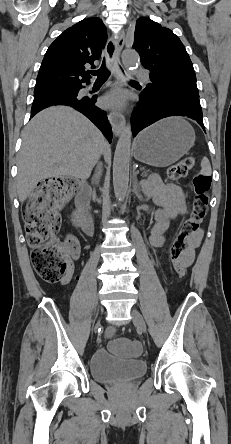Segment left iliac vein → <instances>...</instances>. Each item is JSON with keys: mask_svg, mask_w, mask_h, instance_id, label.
Wrapping results in <instances>:
<instances>
[{"mask_svg": "<svg viewBox=\"0 0 231 444\" xmlns=\"http://www.w3.org/2000/svg\"><path fill=\"white\" fill-rule=\"evenodd\" d=\"M131 314L133 317L134 324L138 326L145 333L147 328L142 315L135 309H132Z\"/></svg>", "mask_w": 231, "mask_h": 444, "instance_id": "4c4485c4", "label": "left iliac vein"}]
</instances>
